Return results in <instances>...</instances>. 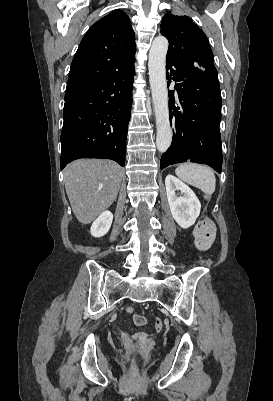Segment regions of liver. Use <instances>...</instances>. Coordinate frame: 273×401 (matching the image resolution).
Returning <instances> with one entry per match:
<instances>
[{"mask_svg":"<svg viewBox=\"0 0 273 401\" xmlns=\"http://www.w3.org/2000/svg\"><path fill=\"white\" fill-rule=\"evenodd\" d=\"M123 168L114 160L80 158L64 168V182L72 211L88 225L106 211L119 192Z\"/></svg>","mask_w":273,"mask_h":401,"instance_id":"liver-1","label":"liver"}]
</instances>
